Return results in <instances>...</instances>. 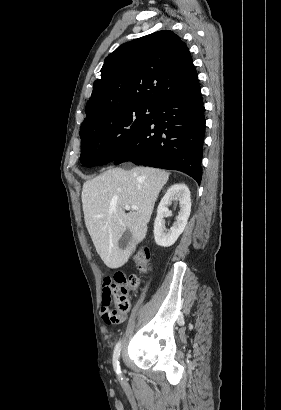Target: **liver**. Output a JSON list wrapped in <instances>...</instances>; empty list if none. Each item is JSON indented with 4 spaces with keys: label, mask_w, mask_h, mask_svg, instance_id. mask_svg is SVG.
<instances>
[{
    "label": "liver",
    "mask_w": 281,
    "mask_h": 410,
    "mask_svg": "<svg viewBox=\"0 0 281 410\" xmlns=\"http://www.w3.org/2000/svg\"><path fill=\"white\" fill-rule=\"evenodd\" d=\"M169 172L150 167L131 170L114 168L87 180L82 189L86 228L97 253L109 268L123 266L146 236L159 192L169 179ZM126 205L138 210L125 213ZM129 230L132 239L125 249L119 240Z\"/></svg>",
    "instance_id": "liver-1"
}]
</instances>
